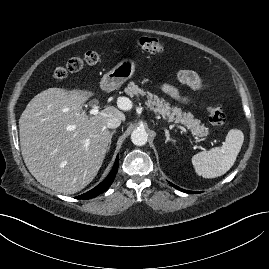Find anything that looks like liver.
<instances>
[{"mask_svg": "<svg viewBox=\"0 0 269 269\" xmlns=\"http://www.w3.org/2000/svg\"><path fill=\"white\" fill-rule=\"evenodd\" d=\"M94 93L49 88L37 94L19 119L24 162L36 180L52 190L74 194L97 175L106 155V122L125 115L114 106L88 116L83 105Z\"/></svg>", "mask_w": 269, "mask_h": 269, "instance_id": "6515ba94", "label": "liver"}]
</instances>
